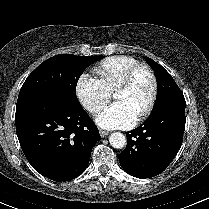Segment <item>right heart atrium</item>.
<instances>
[{"mask_svg":"<svg viewBox=\"0 0 209 209\" xmlns=\"http://www.w3.org/2000/svg\"><path fill=\"white\" fill-rule=\"evenodd\" d=\"M76 94L83 107L91 114L98 113L111 98V92L101 80L89 73L80 75Z\"/></svg>","mask_w":209,"mask_h":209,"instance_id":"obj_1","label":"right heart atrium"}]
</instances>
